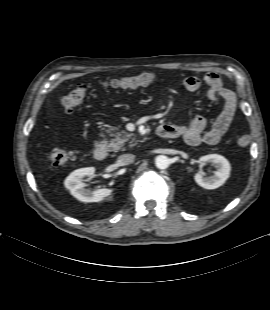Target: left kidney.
Segmentation results:
<instances>
[{
  "label": "left kidney",
  "instance_id": "obj_1",
  "mask_svg": "<svg viewBox=\"0 0 270 310\" xmlns=\"http://www.w3.org/2000/svg\"><path fill=\"white\" fill-rule=\"evenodd\" d=\"M199 163H211L215 168L214 174L209 177H204L201 173L194 176L196 183L205 189H216L222 186L230 176L231 166L229 161L218 154H209L200 157Z\"/></svg>",
  "mask_w": 270,
  "mask_h": 310
}]
</instances>
